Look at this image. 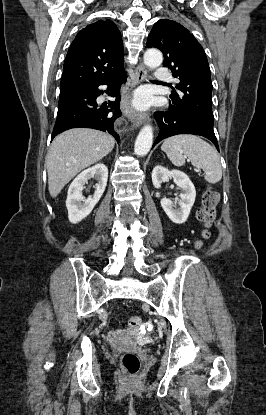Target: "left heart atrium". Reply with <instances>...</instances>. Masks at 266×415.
Segmentation results:
<instances>
[{
	"label": "left heart atrium",
	"mask_w": 266,
	"mask_h": 415,
	"mask_svg": "<svg viewBox=\"0 0 266 415\" xmlns=\"http://www.w3.org/2000/svg\"><path fill=\"white\" fill-rule=\"evenodd\" d=\"M136 104L141 107L144 108L148 105V97L145 93H139L136 99Z\"/></svg>",
	"instance_id": "39dd6f15"
}]
</instances>
